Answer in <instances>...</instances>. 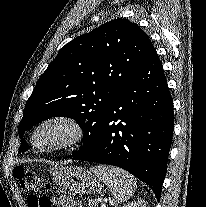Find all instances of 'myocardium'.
<instances>
[{
	"mask_svg": "<svg viewBox=\"0 0 206 207\" xmlns=\"http://www.w3.org/2000/svg\"><path fill=\"white\" fill-rule=\"evenodd\" d=\"M49 124H61L69 130L67 138L61 143L51 147H39L35 142L37 133L45 126ZM85 139V129L83 125L73 117L66 115H54L47 117L40 121L32 130L30 134V145L32 148L44 154L57 153L67 151L79 146Z\"/></svg>",
	"mask_w": 206,
	"mask_h": 207,
	"instance_id": "f54148a6",
	"label": "myocardium"
}]
</instances>
